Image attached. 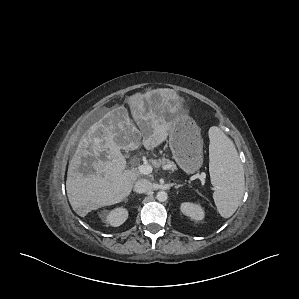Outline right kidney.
Instances as JSON below:
<instances>
[{
  "mask_svg": "<svg viewBox=\"0 0 299 299\" xmlns=\"http://www.w3.org/2000/svg\"><path fill=\"white\" fill-rule=\"evenodd\" d=\"M128 218V211L124 207H117L104 216L105 222L111 226L118 227Z\"/></svg>",
  "mask_w": 299,
  "mask_h": 299,
  "instance_id": "right-kidney-1",
  "label": "right kidney"
}]
</instances>
